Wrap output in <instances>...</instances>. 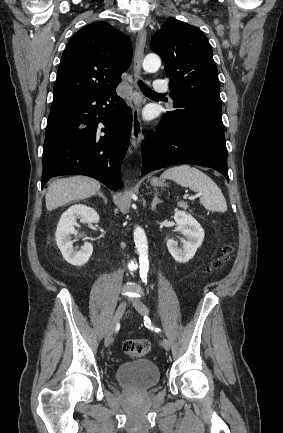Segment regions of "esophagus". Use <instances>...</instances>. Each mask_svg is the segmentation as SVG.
Segmentation results:
<instances>
[{"mask_svg": "<svg viewBox=\"0 0 283 433\" xmlns=\"http://www.w3.org/2000/svg\"><path fill=\"white\" fill-rule=\"evenodd\" d=\"M145 45H146V31L142 30L138 33L136 44H135V53L133 59V75H134L133 85L134 86L137 84V81L140 78ZM142 138H143L142 122L139 115V109L138 107H134L132 130H131V141L133 146L138 147L139 144L141 143Z\"/></svg>", "mask_w": 283, "mask_h": 433, "instance_id": "1", "label": "esophagus"}]
</instances>
